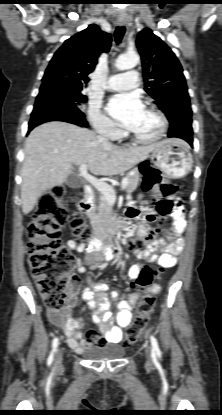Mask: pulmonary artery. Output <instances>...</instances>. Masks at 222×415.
Masks as SVG:
<instances>
[{
	"label": "pulmonary artery",
	"instance_id": "pulmonary-artery-1",
	"mask_svg": "<svg viewBox=\"0 0 222 415\" xmlns=\"http://www.w3.org/2000/svg\"><path fill=\"white\" fill-rule=\"evenodd\" d=\"M139 84L138 73L130 70L125 73L114 74L108 78L104 87L107 90L126 91L137 87Z\"/></svg>",
	"mask_w": 222,
	"mask_h": 415
}]
</instances>
